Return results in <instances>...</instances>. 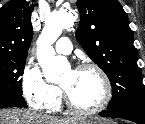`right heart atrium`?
Here are the masks:
<instances>
[{
    "label": "right heart atrium",
    "mask_w": 145,
    "mask_h": 124,
    "mask_svg": "<svg viewBox=\"0 0 145 124\" xmlns=\"http://www.w3.org/2000/svg\"><path fill=\"white\" fill-rule=\"evenodd\" d=\"M23 95L27 102L37 110L55 111L60 107V89L47 82L35 64H27L22 77Z\"/></svg>",
    "instance_id": "right-heart-atrium-1"
}]
</instances>
